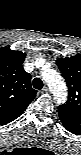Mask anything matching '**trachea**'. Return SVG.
Wrapping results in <instances>:
<instances>
[{"instance_id": "obj_1", "label": "trachea", "mask_w": 81, "mask_h": 155, "mask_svg": "<svg viewBox=\"0 0 81 155\" xmlns=\"http://www.w3.org/2000/svg\"><path fill=\"white\" fill-rule=\"evenodd\" d=\"M32 85L35 89H42L43 88V82L40 78L33 79Z\"/></svg>"}]
</instances>
